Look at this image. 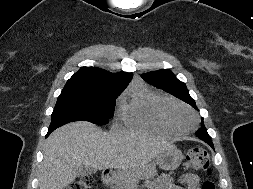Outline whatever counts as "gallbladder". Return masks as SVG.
<instances>
[{"label": "gallbladder", "mask_w": 253, "mask_h": 189, "mask_svg": "<svg viewBox=\"0 0 253 189\" xmlns=\"http://www.w3.org/2000/svg\"><path fill=\"white\" fill-rule=\"evenodd\" d=\"M95 172H96V170L94 168L82 165L77 170V176L82 177V176H85V175L94 174Z\"/></svg>", "instance_id": "gallbladder-1"}]
</instances>
